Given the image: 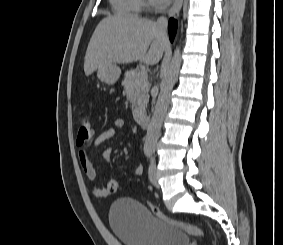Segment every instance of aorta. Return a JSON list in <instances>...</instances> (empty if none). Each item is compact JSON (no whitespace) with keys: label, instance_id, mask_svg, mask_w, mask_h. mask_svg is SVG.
Listing matches in <instances>:
<instances>
[{"label":"aorta","instance_id":"aorta-1","mask_svg":"<svg viewBox=\"0 0 283 245\" xmlns=\"http://www.w3.org/2000/svg\"><path fill=\"white\" fill-rule=\"evenodd\" d=\"M180 66L181 54L180 48L177 47L174 51L173 58L160 85V93L156 102L152 119L147 128V134L144 143L145 151H153L155 149L158 135L162 127L163 119L166 115L170 102L171 91L177 79Z\"/></svg>","mask_w":283,"mask_h":245}]
</instances>
